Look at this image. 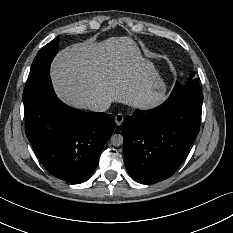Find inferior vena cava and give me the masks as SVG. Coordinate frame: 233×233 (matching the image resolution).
Listing matches in <instances>:
<instances>
[{
    "mask_svg": "<svg viewBox=\"0 0 233 233\" xmlns=\"http://www.w3.org/2000/svg\"><path fill=\"white\" fill-rule=\"evenodd\" d=\"M111 105L108 99H98L90 106V110L94 112H105Z\"/></svg>",
    "mask_w": 233,
    "mask_h": 233,
    "instance_id": "inferior-vena-cava-1",
    "label": "inferior vena cava"
}]
</instances>
